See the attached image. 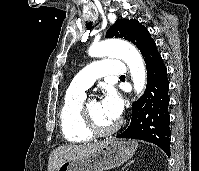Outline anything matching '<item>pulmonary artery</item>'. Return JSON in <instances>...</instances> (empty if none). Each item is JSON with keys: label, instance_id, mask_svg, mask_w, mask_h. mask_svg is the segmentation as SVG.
<instances>
[{"label": "pulmonary artery", "instance_id": "e3ab8cb5", "mask_svg": "<svg viewBox=\"0 0 199 171\" xmlns=\"http://www.w3.org/2000/svg\"><path fill=\"white\" fill-rule=\"evenodd\" d=\"M125 73L126 66L121 61L112 59L97 60L83 68L76 75L69 88L85 92L99 77L109 75L121 76Z\"/></svg>", "mask_w": 199, "mask_h": 171}]
</instances>
